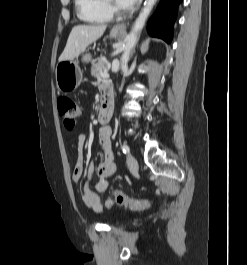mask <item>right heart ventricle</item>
<instances>
[{
  "mask_svg": "<svg viewBox=\"0 0 247 265\" xmlns=\"http://www.w3.org/2000/svg\"><path fill=\"white\" fill-rule=\"evenodd\" d=\"M78 16L90 23H106L112 18L107 0H75Z\"/></svg>",
  "mask_w": 247,
  "mask_h": 265,
  "instance_id": "1",
  "label": "right heart ventricle"
}]
</instances>
